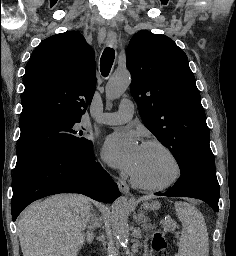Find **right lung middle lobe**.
Returning <instances> with one entry per match:
<instances>
[{
  "mask_svg": "<svg viewBox=\"0 0 236 256\" xmlns=\"http://www.w3.org/2000/svg\"><path fill=\"white\" fill-rule=\"evenodd\" d=\"M79 122V118L53 112L20 118L17 162L45 151L81 152L92 147V142L82 137L84 133L77 125Z\"/></svg>",
  "mask_w": 236,
  "mask_h": 256,
  "instance_id": "obj_1",
  "label": "right lung middle lobe"
}]
</instances>
